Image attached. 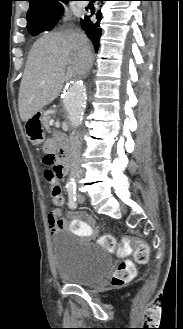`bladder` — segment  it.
I'll use <instances>...</instances> for the list:
<instances>
[{
	"instance_id": "1",
	"label": "bladder",
	"mask_w": 183,
	"mask_h": 329,
	"mask_svg": "<svg viewBox=\"0 0 183 329\" xmlns=\"http://www.w3.org/2000/svg\"><path fill=\"white\" fill-rule=\"evenodd\" d=\"M51 250L58 277L70 284L96 285L112 267L111 256L105 249L72 232L54 234Z\"/></svg>"
}]
</instances>
